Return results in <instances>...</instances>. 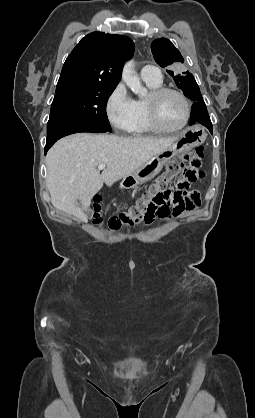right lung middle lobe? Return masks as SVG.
<instances>
[{
	"instance_id": "1",
	"label": "right lung middle lobe",
	"mask_w": 255,
	"mask_h": 418,
	"mask_svg": "<svg viewBox=\"0 0 255 418\" xmlns=\"http://www.w3.org/2000/svg\"><path fill=\"white\" fill-rule=\"evenodd\" d=\"M115 87L87 83L58 84L48 123L75 120L92 123L111 132L106 105Z\"/></svg>"
}]
</instances>
